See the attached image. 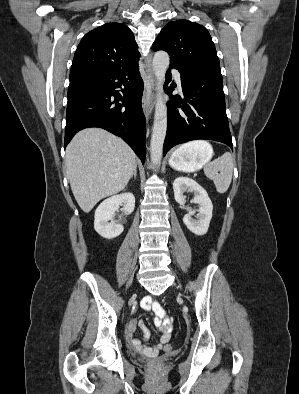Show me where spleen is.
<instances>
[{"instance_id":"obj_1","label":"spleen","mask_w":299,"mask_h":394,"mask_svg":"<svg viewBox=\"0 0 299 394\" xmlns=\"http://www.w3.org/2000/svg\"><path fill=\"white\" fill-rule=\"evenodd\" d=\"M200 145L212 148L206 141H194L185 146ZM233 167V158L229 152L224 153L222 156L204 166L205 175L213 180L218 193L223 194L228 190L232 181Z\"/></svg>"}]
</instances>
